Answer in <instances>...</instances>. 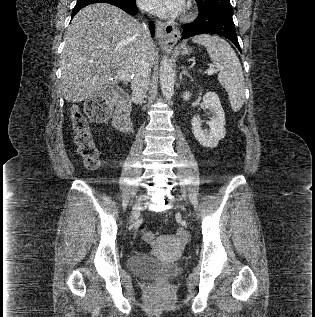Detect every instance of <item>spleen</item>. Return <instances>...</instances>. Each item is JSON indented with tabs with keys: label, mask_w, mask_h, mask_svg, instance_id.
Here are the masks:
<instances>
[{
	"label": "spleen",
	"mask_w": 315,
	"mask_h": 317,
	"mask_svg": "<svg viewBox=\"0 0 315 317\" xmlns=\"http://www.w3.org/2000/svg\"><path fill=\"white\" fill-rule=\"evenodd\" d=\"M192 41L206 47L209 57L219 72V83L228 93L232 110L238 112L243 105L245 82L236 53L226 40L216 35L201 34L193 37Z\"/></svg>",
	"instance_id": "3e777b00"
}]
</instances>
